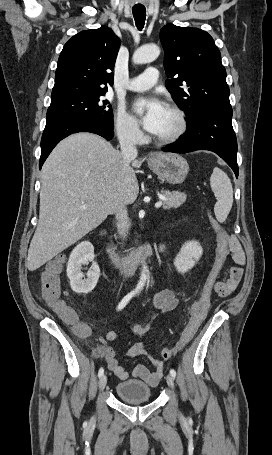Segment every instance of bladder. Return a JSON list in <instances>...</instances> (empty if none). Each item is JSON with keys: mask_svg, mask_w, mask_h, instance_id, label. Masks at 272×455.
I'll return each mask as SVG.
<instances>
[{"mask_svg": "<svg viewBox=\"0 0 272 455\" xmlns=\"http://www.w3.org/2000/svg\"><path fill=\"white\" fill-rule=\"evenodd\" d=\"M117 396L129 404H142L150 401L151 388L144 382L129 379L119 382L115 388Z\"/></svg>", "mask_w": 272, "mask_h": 455, "instance_id": "1", "label": "bladder"}]
</instances>
